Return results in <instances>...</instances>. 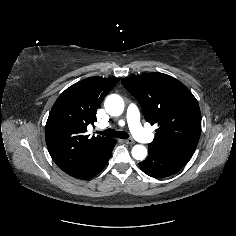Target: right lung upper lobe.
Masks as SVG:
<instances>
[{"label": "right lung upper lobe", "mask_w": 236, "mask_h": 236, "mask_svg": "<svg viewBox=\"0 0 236 236\" xmlns=\"http://www.w3.org/2000/svg\"><path fill=\"white\" fill-rule=\"evenodd\" d=\"M117 79L86 78L67 88L54 103L45 126L49 153L68 175L80 171L110 140L86 135L89 123Z\"/></svg>", "instance_id": "right-lung-upper-lobe-1"}]
</instances>
